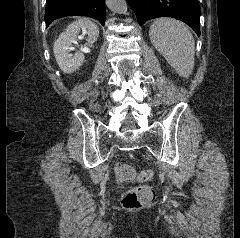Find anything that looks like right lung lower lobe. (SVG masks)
Returning <instances> with one entry per match:
<instances>
[{"instance_id":"98d812e1","label":"right lung lower lobe","mask_w":240,"mask_h":238,"mask_svg":"<svg viewBox=\"0 0 240 238\" xmlns=\"http://www.w3.org/2000/svg\"><path fill=\"white\" fill-rule=\"evenodd\" d=\"M104 0H47L45 9L46 26L55 19L65 16H89L105 24Z\"/></svg>"}]
</instances>
